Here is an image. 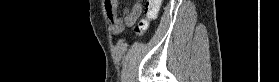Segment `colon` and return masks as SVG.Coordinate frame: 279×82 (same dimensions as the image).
I'll return each mask as SVG.
<instances>
[{
	"label": "colon",
	"instance_id": "1",
	"mask_svg": "<svg viewBox=\"0 0 279 82\" xmlns=\"http://www.w3.org/2000/svg\"><path fill=\"white\" fill-rule=\"evenodd\" d=\"M161 0H147L146 1V16L141 19L134 27L136 35L142 34L148 28L149 21L153 20L161 5Z\"/></svg>",
	"mask_w": 279,
	"mask_h": 82
}]
</instances>
